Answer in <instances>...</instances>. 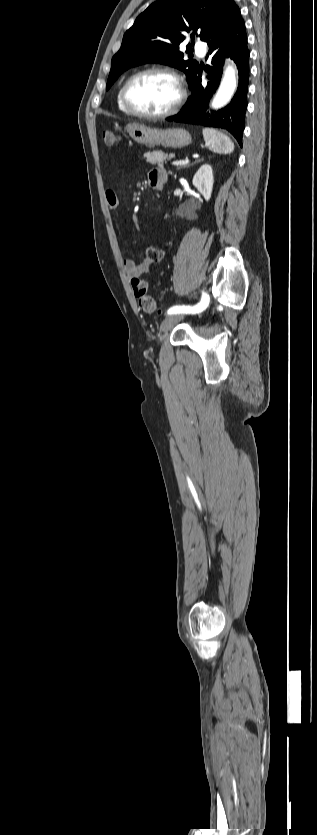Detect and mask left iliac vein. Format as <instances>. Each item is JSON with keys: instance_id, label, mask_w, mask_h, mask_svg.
I'll return each mask as SVG.
<instances>
[{"instance_id": "4c4485c4", "label": "left iliac vein", "mask_w": 317, "mask_h": 835, "mask_svg": "<svg viewBox=\"0 0 317 835\" xmlns=\"http://www.w3.org/2000/svg\"><path fill=\"white\" fill-rule=\"evenodd\" d=\"M182 318L183 316L181 314H172L166 317L162 321L160 326V332L162 337H164L165 334L169 332L174 327V325H176Z\"/></svg>"}]
</instances>
